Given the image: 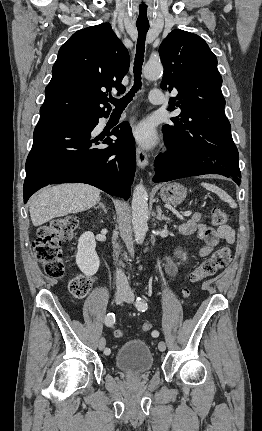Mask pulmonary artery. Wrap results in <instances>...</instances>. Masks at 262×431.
I'll return each instance as SVG.
<instances>
[{
  "instance_id": "pulmonary-artery-1",
  "label": "pulmonary artery",
  "mask_w": 262,
  "mask_h": 431,
  "mask_svg": "<svg viewBox=\"0 0 262 431\" xmlns=\"http://www.w3.org/2000/svg\"><path fill=\"white\" fill-rule=\"evenodd\" d=\"M149 100L152 104L161 105L164 103L165 97L160 89H152L150 91Z\"/></svg>"
}]
</instances>
